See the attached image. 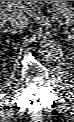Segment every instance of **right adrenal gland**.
<instances>
[{
  "mask_svg": "<svg viewBox=\"0 0 74 122\" xmlns=\"http://www.w3.org/2000/svg\"><path fill=\"white\" fill-rule=\"evenodd\" d=\"M5 32H10V33H12V34H18V33H20L21 31H16L15 29H12V28L8 27V28L5 30Z\"/></svg>",
  "mask_w": 74,
  "mask_h": 122,
  "instance_id": "right-adrenal-gland-1",
  "label": "right adrenal gland"
}]
</instances>
